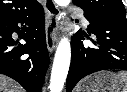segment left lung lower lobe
I'll return each mask as SVG.
<instances>
[{"mask_svg": "<svg viewBox=\"0 0 127 92\" xmlns=\"http://www.w3.org/2000/svg\"><path fill=\"white\" fill-rule=\"evenodd\" d=\"M84 16L90 22L87 32L93 38L87 37L93 45H83L81 30L72 38L67 92H71L80 79L91 73L107 69L127 70V20L85 12Z\"/></svg>", "mask_w": 127, "mask_h": 92, "instance_id": "1", "label": "left lung lower lobe"}]
</instances>
